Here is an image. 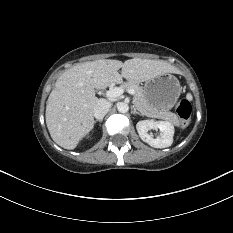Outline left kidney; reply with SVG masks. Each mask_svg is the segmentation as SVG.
Here are the masks:
<instances>
[{"label":"left kidney","mask_w":233,"mask_h":233,"mask_svg":"<svg viewBox=\"0 0 233 233\" xmlns=\"http://www.w3.org/2000/svg\"><path fill=\"white\" fill-rule=\"evenodd\" d=\"M140 138L154 148H166L173 143L174 126L167 121L142 120L136 124ZM151 129H159L160 137L153 138L148 133Z\"/></svg>","instance_id":"obj_1"}]
</instances>
